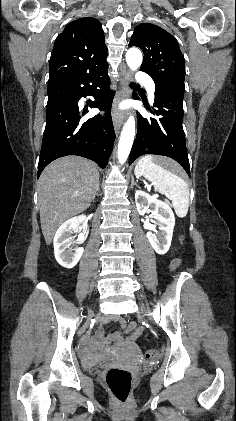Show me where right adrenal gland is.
Masks as SVG:
<instances>
[{"label": "right adrenal gland", "instance_id": "2a0ac1e0", "mask_svg": "<svg viewBox=\"0 0 236 421\" xmlns=\"http://www.w3.org/2000/svg\"><path fill=\"white\" fill-rule=\"evenodd\" d=\"M99 190H100V188H99V184H98V186H97V190H96V192H95V194H94V196H93V198H92L93 202H94V200H95V196H96V194H97V196H99Z\"/></svg>", "mask_w": 236, "mask_h": 421}]
</instances>
